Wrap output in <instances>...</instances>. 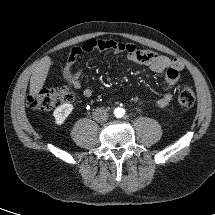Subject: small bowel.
Segmentation results:
<instances>
[{
	"label": "small bowel",
	"mask_w": 215,
	"mask_h": 215,
	"mask_svg": "<svg viewBox=\"0 0 215 215\" xmlns=\"http://www.w3.org/2000/svg\"><path fill=\"white\" fill-rule=\"evenodd\" d=\"M105 50H111L115 53H126L128 60L145 65L155 73H164L167 91L155 104L160 109H164L170 104L173 99L172 89L178 83L180 71L184 68L183 63L176 58L172 59L153 51L141 50L129 42L89 39L83 45L73 47L63 69L64 80L75 89L82 90V94L90 98L93 95V91L90 88H82L79 71L74 70V67L77 60L84 55Z\"/></svg>",
	"instance_id": "c3829d8e"
}]
</instances>
